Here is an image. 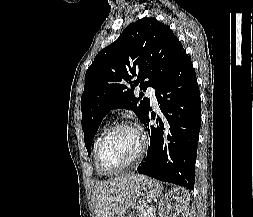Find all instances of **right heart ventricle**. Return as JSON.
Listing matches in <instances>:
<instances>
[{"label":"right heart ventricle","instance_id":"right-heart-ventricle-1","mask_svg":"<svg viewBox=\"0 0 253 217\" xmlns=\"http://www.w3.org/2000/svg\"><path fill=\"white\" fill-rule=\"evenodd\" d=\"M100 137H101V135L97 137V139L95 140V143H94V147H93L94 160H95L96 147H97V144H98V141H99ZM95 164H96V162H95Z\"/></svg>","mask_w":253,"mask_h":217}]
</instances>
